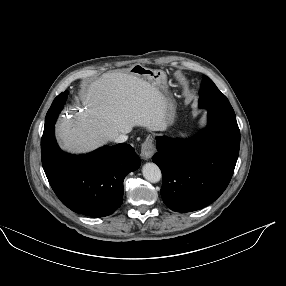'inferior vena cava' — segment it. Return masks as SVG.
Returning <instances> with one entry per match:
<instances>
[{
    "instance_id": "602c4592",
    "label": "inferior vena cava",
    "mask_w": 286,
    "mask_h": 286,
    "mask_svg": "<svg viewBox=\"0 0 286 286\" xmlns=\"http://www.w3.org/2000/svg\"><path fill=\"white\" fill-rule=\"evenodd\" d=\"M128 139V136H126L125 134H119L118 136H116L113 141L116 143H123Z\"/></svg>"
}]
</instances>
